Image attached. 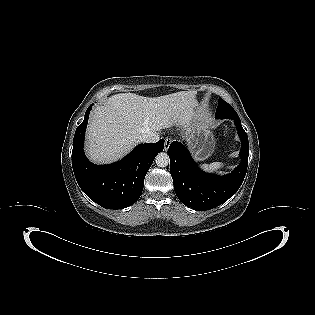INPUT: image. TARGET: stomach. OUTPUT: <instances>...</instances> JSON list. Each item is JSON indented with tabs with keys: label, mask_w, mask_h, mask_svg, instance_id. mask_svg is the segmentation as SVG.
<instances>
[{
	"label": "stomach",
	"mask_w": 315,
	"mask_h": 315,
	"mask_svg": "<svg viewBox=\"0 0 315 315\" xmlns=\"http://www.w3.org/2000/svg\"><path fill=\"white\" fill-rule=\"evenodd\" d=\"M191 151L198 161L207 159L214 150V138L204 123L195 120L189 126L186 134Z\"/></svg>",
	"instance_id": "0dacf381"
}]
</instances>
